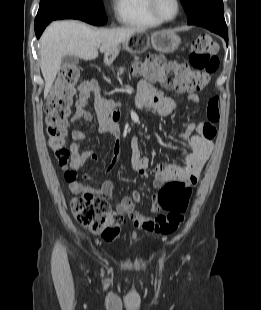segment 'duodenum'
Returning a JSON list of instances; mask_svg holds the SVG:
<instances>
[{"instance_id": "1", "label": "duodenum", "mask_w": 261, "mask_h": 310, "mask_svg": "<svg viewBox=\"0 0 261 310\" xmlns=\"http://www.w3.org/2000/svg\"><path fill=\"white\" fill-rule=\"evenodd\" d=\"M119 119V112L113 111L109 117V122H116Z\"/></svg>"}]
</instances>
